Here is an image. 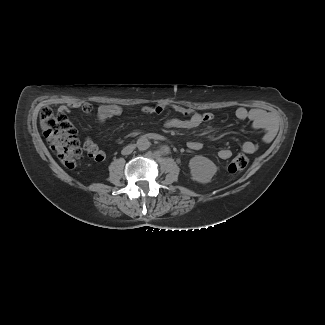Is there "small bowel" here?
Instances as JSON below:
<instances>
[{"label":"small bowel","mask_w":325,"mask_h":325,"mask_svg":"<svg viewBox=\"0 0 325 325\" xmlns=\"http://www.w3.org/2000/svg\"><path fill=\"white\" fill-rule=\"evenodd\" d=\"M72 109H81L85 114H90L92 112V105L89 102H74L67 106L60 107L57 111L56 121L59 122V125L64 127L66 132L72 135H78L79 129L76 127L75 123L70 120L69 116V111ZM168 110L174 111L185 117L184 119H165L163 125L169 129H193L213 119L212 113H201L177 104L160 103L155 107H143V112L148 115L161 114ZM121 113L122 109L118 105H101L97 109L96 115L100 122H105L110 118L119 116ZM235 116L239 120H249L254 128L263 130V140L265 142L273 138L275 134L273 118L263 110L247 109L246 107L240 106L235 110ZM187 146L189 149L197 151L202 148V143L198 140H190ZM258 147L259 145L257 143L247 141L241 145V150L247 154H253L258 150ZM84 148L88 156L95 161L102 162L107 157V153L101 150L90 138L84 140ZM231 156L232 151L230 149L224 148L219 151V157L223 160H227Z\"/></svg>","instance_id":"1"}]
</instances>
